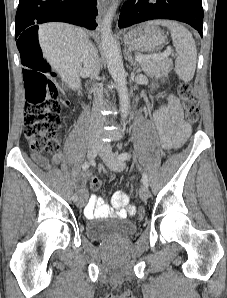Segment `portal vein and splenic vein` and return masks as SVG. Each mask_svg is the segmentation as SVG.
<instances>
[{
	"label": "portal vein and splenic vein",
	"mask_w": 227,
	"mask_h": 298,
	"mask_svg": "<svg viewBox=\"0 0 227 298\" xmlns=\"http://www.w3.org/2000/svg\"><path fill=\"white\" fill-rule=\"evenodd\" d=\"M171 52H172V50L170 48H168L163 53L150 55V56H139V55H137L135 57V59H136L137 62L144 61L145 59L158 60V59H161V58H164V57H168L171 54Z\"/></svg>",
	"instance_id": "18ae733b"
}]
</instances>
